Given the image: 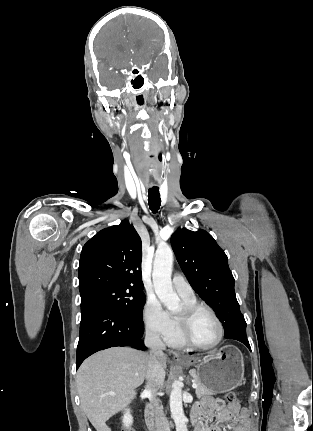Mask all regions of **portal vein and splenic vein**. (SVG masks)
Here are the masks:
<instances>
[{
	"label": "portal vein and splenic vein",
	"mask_w": 313,
	"mask_h": 431,
	"mask_svg": "<svg viewBox=\"0 0 313 431\" xmlns=\"http://www.w3.org/2000/svg\"><path fill=\"white\" fill-rule=\"evenodd\" d=\"M192 387L196 389L198 385L195 382H193Z\"/></svg>",
	"instance_id": "portal-vein-and-splenic-vein-1"
}]
</instances>
